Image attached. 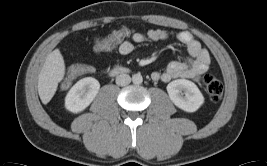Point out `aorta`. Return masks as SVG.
I'll return each mask as SVG.
<instances>
[{"label":"aorta","mask_w":267,"mask_h":166,"mask_svg":"<svg viewBox=\"0 0 267 166\" xmlns=\"http://www.w3.org/2000/svg\"><path fill=\"white\" fill-rule=\"evenodd\" d=\"M132 82L134 84H141L143 82V77L140 73H136L132 76Z\"/></svg>","instance_id":"1"}]
</instances>
